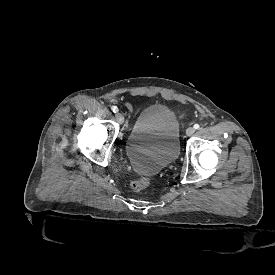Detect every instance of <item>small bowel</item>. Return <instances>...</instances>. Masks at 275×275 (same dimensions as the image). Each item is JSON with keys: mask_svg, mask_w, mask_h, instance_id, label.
Instances as JSON below:
<instances>
[{"mask_svg": "<svg viewBox=\"0 0 275 275\" xmlns=\"http://www.w3.org/2000/svg\"><path fill=\"white\" fill-rule=\"evenodd\" d=\"M127 106H128V108H130V109H132L133 107H132V105H130V104H127Z\"/></svg>", "mask_w": 275, "mask_h": 275, "instance_id": "small-bowel-1", "label": "small bowel"}]
</instances>
